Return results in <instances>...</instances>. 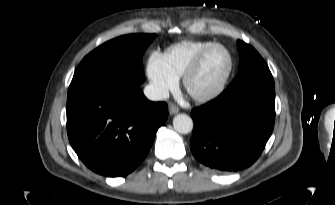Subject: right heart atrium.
Returning <instances> with one entry per match:
<instances>
[{"instance_id":"d8ad5b80","label":"right heart atrium","mask_w":335,"mask_h":205,"mask_svg":"<svg viewBox=\"0 0 335 205\" xmlns=\"http://www.w3.org/2000/svg\"><path fill=\"white\" fill-rule=\"evenodd\" d=\"M146 75L151 94L157 99L164 98L177 85L178 78L168 69L163 55L159 52H153L149 56Z\"/></svg>"}]
</instances>
